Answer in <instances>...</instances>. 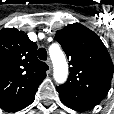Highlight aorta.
<instances>
[{
  "instance_id": "aorta-1",
  "label": "aorta",
  "mask_w": 114,
  "mask_h": 114,
  "mask_svg": "<svg viewBox=\"0 0 114 114\" xmlns=\"http://www.w3.org/2000/svg\"><path fill=\"white\" fill-rule=\"evenodd\" d=\"M50 56L54 66V79L57 83L62 84L68 76V64L64 53L60 50H50Z\"/></svg>"
}]
</instances>
